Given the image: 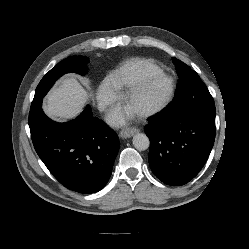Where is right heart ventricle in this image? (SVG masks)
Listing matches in <instances>:
<instances>
[{
  "label": "right heart ventricle",
  "instance_id": "e07e8e85",
  "mask_svg": "<svg viewBox=\"0 0 249 249\" xmlns=\"http://www.w3.org/2000/svg\"><path fill=\"white\" fill-rule=\"evenodd\" d=\"M163 70L146 58H132L121 64L110 76V81L117 91L132 88L145 78L162 74Z\"/></svg>",
  "mask_w": 249,
  "mask_h": 249
}]
</instances>
